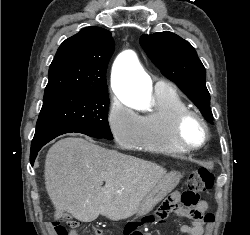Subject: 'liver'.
I'll return each mask as SVG.
<instances>
[{"label":"liver","instance_id":"6515ba94","mask_svg":"<svg viewBox=\"0 0 250 235\" xmlns=\"http://www.w3.org/2000/svg\"><path fill=\"white\" fill-rule=\"evenodd\" d=\"M165 174L153 162L68 137L49 149L44 178L56 218L68 212L92 222L99 215L114 221L132 216Z\"/></svg>","mask_w":250,"mask_h":235}]
</instances>
